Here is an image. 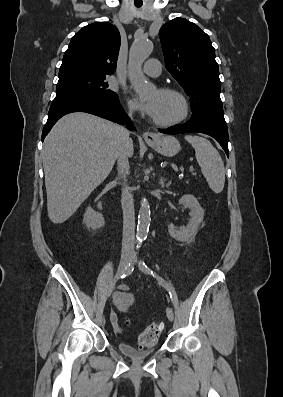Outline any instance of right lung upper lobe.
<instances>
[{
	"label": "right lung upper lobe",
	"instance_id": "1",
	"mask_svg": "<svg viewBox=\"0 0 283 397\" xmlns=\"http://www.w3.org/2000/svg\"><path fill=\"white\" fill-rule=\"evenodd\" d=\"M120 48L118 29L108 22H96L83 27L71 39L59 76L68 73L112 75Z\"/></svg>",
	"mask_w": 283,
	"mask_h": 397
}]
</instances>
